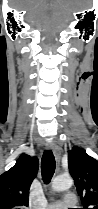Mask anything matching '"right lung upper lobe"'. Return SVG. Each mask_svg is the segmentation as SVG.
Instances as JSON below:
<instances>
[{
    "instance_id": "1",
    "label": "right lung upper lobe",
    "mask_w": 98,
    "mask_h": 209,
    "mask_svg": "<svg viewBox=\"0 0 98 209\" xmlns=\"http://www.w3.org/2000/svg\"><path fill=\"white\" fill-rule=\"evenodd\" d=\"M38 171V159L22 154L16 164L0 175V209H24Z\"/></svg>"
}]
</instances>
